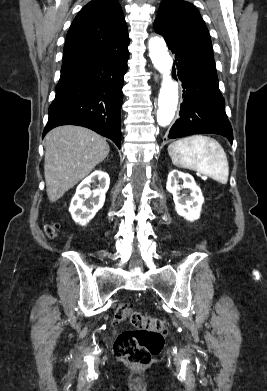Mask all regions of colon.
<instances>
[{
    "label": "colon",
    "instance_id": "5ec220e1",
    "mask_svg": "<svg viewBox=\"0 0 267 391\" xmlns=\"http://www.w3.org/2000/svg\"><path fill=\"white\" fill-rule=\"evenodd\" d=\"M56 231V225L45 228L48 238L55 237ZM126 319L130 320L135 329L118 335L113 346L114 353L131 365H147L163 349L167 323L163 319L135 310L129 303H121L116 308L114 320L120 323Z\"/></svg>",
    "mask_w": 267,
    "mask_h": 391
}]
</instances>
